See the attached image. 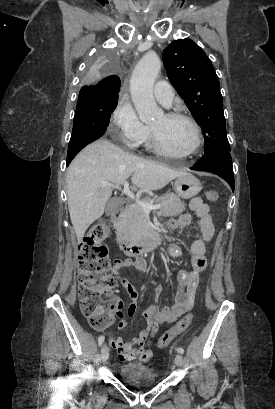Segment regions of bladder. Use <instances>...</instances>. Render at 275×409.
<instances>
[{
	"label": "bladder",
	"instance_id": "1",
	"mask_svg": "<svg viewBox=\"0 0 275 409\" xmlns=\"http://www.w3.org/2000/svg\"><path fill=\"white\" fill-rule=\"evenodd\" d=\"M117 377L131 387L154 385L159 383V376L149 364L138 361L125 362L117 369Z\"/></svg>",
	"mask_w": 275,
	"mask_h": 409
}]
</instances>
